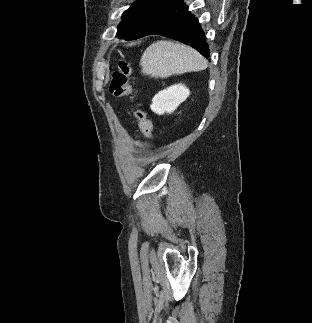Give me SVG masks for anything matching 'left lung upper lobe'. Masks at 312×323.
<instances>
[{"instance_id":"1","label":"left lung upper lobe","mask_w":312,"mask_h":323,"mask_svg":"<svg viewBox=\"0 0 312 323\" xmlns=\"http://www.w3.org/2000/svg\"><path fill=\"white\" fill-rule=\"evenodd\" d=\"M173 0H136L122 15L116 36L132 40L145 36L171 11Z\"/></svg>"}]
</instances>
